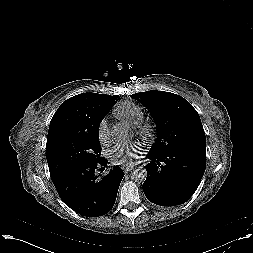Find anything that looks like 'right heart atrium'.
Returning <instances> with one entry per match:
<instances>
[{
    "label": "right heart atrium",
    "mask_w": 253,
    "mask_h": 253,
    "mask_svg": "<svg viewBox=\"0 0 253 253\" xmlns=\"http://www.w3.org/2000/svg\"><path fill=\"white\" fill-rule=\"evenodd\" d=\"M97 135L100 143L105 144L110 139V127L106 119H102L99 122Z\"/></svg>",
    "instance_id": "obj_1"
}]
</instances>
